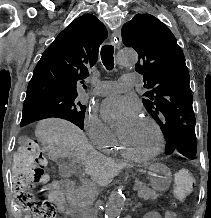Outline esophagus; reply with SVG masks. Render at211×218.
Segmentation results:
<instances>
[{
  "label": "esophagus",
  "instance_id": "1",
  "mask_svg": "<svg viewBox=\"0 0 211 218\" xmlns=\"http://www.w3.org/2000/svg\"><path fill=\"white\" fill-rule=\"evenodd\" d=\"M111 43L116 47L120 48V45L122 43V37L120 30H115L111 36Z\"/></svg>",
  "mask_w": 211,
  "mask_h": 218
}]
</instances>
